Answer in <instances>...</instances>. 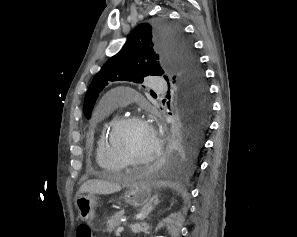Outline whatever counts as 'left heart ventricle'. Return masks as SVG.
<instances>
[{"instance_id":"b2bd125f","label":"left heart ventricle","mask_w":297,"mask_h":237,"mask_svg":"<svg viewBox=\"0 0 297 237\" xmlns=\"http://www.w3.org/2000/svg\"><path fill=\"white\" fill-rule=\"evenodd\" d=\"M122 151L134 160L148 157L155 147V135L146 123H131L123 127L117 137Z\"/></svg>"}]
</instances>
